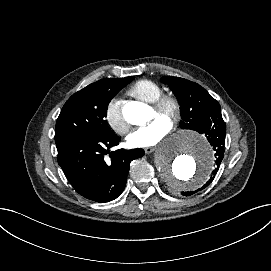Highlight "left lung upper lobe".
<instances>
[{"label":"left lung upper lobe","mask_w":271,"mask_h":271,"mask_svg":"<svg viewBox=\"0 0 271 271\" xmlns=\"http://www.w3.org/2000/svg\"><path fill=\"white\" fill-rule=\"evenodd\" d=\"M162 82L173 91L181 106L182 129L196 130L221 113L219 103L199 84L172 76L163 77Z\"/></svg>","instance_id":"left-lung-upper-lobe-1"}]
</instances>
